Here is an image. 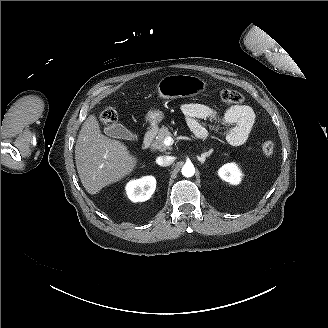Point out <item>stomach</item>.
Instances as JSON below:
<instances>
[{"label":"stomach","mask_w":328,"mask_h":328,"mask_svg":"<svg viewBox=\"0 0 328 328\" xmlns=\"http://www.w3.org/2000/svg\"><path fill=\"white\" fill-rule=\"evenodd\" d=\"M158 93L163 99H174L179 97H193L207 88V83L196 76L173 74L162 78L158 83ZM164 118V114L157 109L150 110L146 119L152 130H157L158 124Z\"/></svg>","instance_id":"obj_1"}]
</instances>
